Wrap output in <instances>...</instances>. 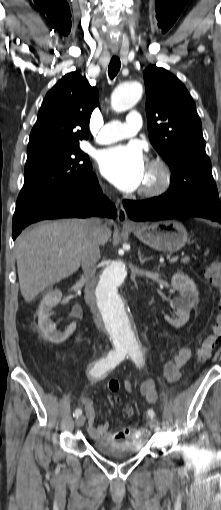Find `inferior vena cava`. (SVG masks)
<instances>
[{"mask_svg": "<svg viewBox=\"0 0 221 510\" xmlns=\"http://www.w3.org/2000/svg\"><path fill=\"white\" fill-rule=\"evenodd\" d=\"M105 226L99 218H91L87 220V230L79 248V255L82 262L83 278L86 282L85 296L88 299L90 308L95 314V298H94V280L96 273V264L100 259L99 250V237L104 231ZM95 322L98 324V320L95 317ZM99 327V324H98Z\"/></svg>", "mask_w": 221, "mask_h": 510, "instance_id": "1", "label": "inferior vena cava"}]
</instances>
